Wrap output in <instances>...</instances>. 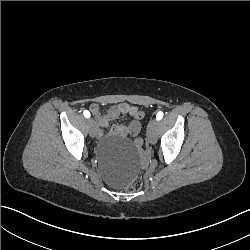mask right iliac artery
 Masks as SVG:
<instances>
[{"instance_id": "obj_1", "label": "right iliac artery", "mask_w": 250, "mask_h": 250, "mask_svg": "<svg viewBox=\"0 0 250 250\" xmlns=\"http://www.w3.org/2000/svg\"><path fill=\"white\" fill-rule=\"evenodd\" d=\"M83 114H84V116H85L86 118H89V117H90V112H89L88 110H85V111L83 112Z\"/></svg>"}]
</instances>
